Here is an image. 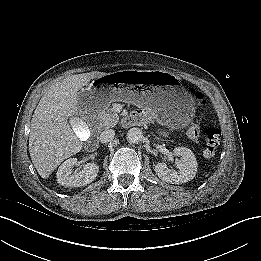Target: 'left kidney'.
Wrapping results in <instances>:
<instances>
[{"mask_svg": "<svg viewBox=\"0 0 261 261\" xmlns=\"http://www.w3.org/2000/svg\"><path fill=\"white\" fill-rule=\"evenodd\" d=\"M173 153L180 157L175 161L178 172L169 169L165 163H157L154 170L158 177L171 184H181L192 180L198 167L194 153L186 147H176Z\"/></svg>", "mask_w": 261, "mask_h": 261, "instance_id": "left-kidney-1", "label": "left kidney"}]
</instances>
